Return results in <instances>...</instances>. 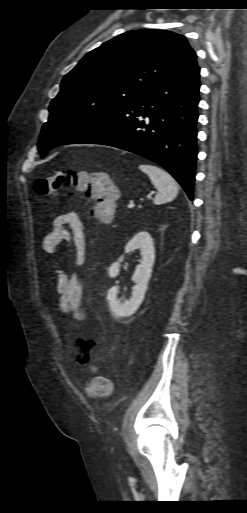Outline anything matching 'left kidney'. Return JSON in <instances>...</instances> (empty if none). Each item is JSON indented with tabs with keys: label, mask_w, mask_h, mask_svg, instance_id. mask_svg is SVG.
Instances as JSON below:
<instances>
[{
	"label": "left kidney",
	"mask_w": 247,
	"mask_h": 513,
	"mask_svg": "<svg viewBox=\"0 0 247 513\" xmlns=\"http://www.w3.org/2000/svg\"><path fill=\"white\" fill-rule=\"evenodd\" d=\"M139 249L142 261L137 265L132 280L136 283L133 287L132 296L129 300L121 301L117 298L119 289L113 286L108 290L107 301L109 309L115 318L131 316L139 308L144 299L148 281L151 277L152 267L155 261V247L152 237L148 232L137 233L126 245L125 253ZM124 260L121 256L119 260L109 268L110 277H116L120 272V263Z\"/></svg>",
	"instance_id": "5707ae66"
}]
</instances>
